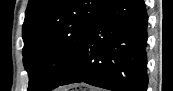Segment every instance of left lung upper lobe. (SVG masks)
<instances>
[{"label":"left lung upper lobe","mask_w":173,"mask_h":91,"mask_svg":"<svg viewBox=\"0 0 173 91\" xmlns=\"http://www.w3.org/2000/svg\"><path fill=\"white\" fill-rule=\"evenodd\" d=\"M110 0H29L23 24L27 91H50L76 62L93 25ZM59 61L55 72L45 71Z\"/></svg>","instance_id":"obj_1"}]
</instances>
